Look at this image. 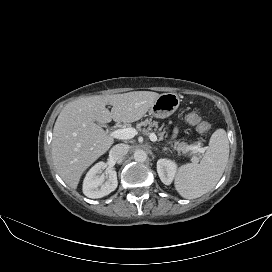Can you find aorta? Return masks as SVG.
I'll return each mask as SVG.
<instances>
[{"instance_id":"obj_1","label":"aorta","mask_w":272,"mask_h":272,"mask_svg":"<svg viewBox=\"0 0 272 272\" xmlns=\"http://www.w3.org/2000/svg\"><path fill=\"white\" fill-rule=\"evenodd\" d=\"M147 159V153L143 150H136L134 152V160L137 162H145Z\"/></svg>"}]
</instances>
